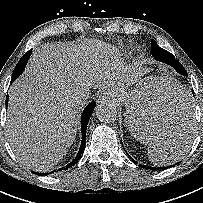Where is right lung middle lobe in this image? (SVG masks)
Returning <instances> with one entry per match:
<instances>
[{"mask_svg":"<svg viewBox=\"0 0 203 203\" xmlns=\"http://www.w3.org/2000/svg\"><path fill=\"white\" fill-rule=\"evenodd\" d=\"M24 69H22L21 67L19 66H16L14 71H13V75H12V81H14L17 77H19V75L22 74Z\"/></svg>","mask_w":203,"mask_h":203,"instance_id":"1","label":"right lung middle lobe"}]
</instances>
